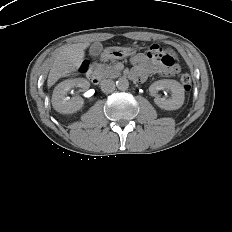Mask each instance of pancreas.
<instances>
[{
	"label": "pancreas",
	"mask_w": 232,
	"mask_h": 232,
	"mask_svg": "<svg viewBox=\"0 0 232 232\" xmlns=\"http://www.w3.org/2000/svg\"><path fill=\"white\" fill-rule=\"evenodd\" d=\"M97 70H98L100 77H103V78H116L121 75L120 71L116 68L115 63L98 64Z\"/></svg>",
	"instance_id": "obj_1"
}]
</instances>
